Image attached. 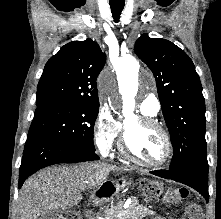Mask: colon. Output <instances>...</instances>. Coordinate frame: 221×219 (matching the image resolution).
<instances>
[{
	"label": "colon",
	"instance_id": "5ec220e1",
	"mask_svg": "<svg viewBox=\"0 0 221 219\" xmlns=\"http://www.w3.org/2000/svg\"><path fill=\"white\" fill-rule=\"evenodd\" d=\"M177 195L180 197H186L188 192L186 190H178ZM61 219H84L83 215L79 211H70L64 214ZM180 219H203L202 211L199 206L190 205L188 206L183 214L181 215Z\"/></svg>",
	"mask_w": 221,
	"mask_h": 219
}]
</instances>
